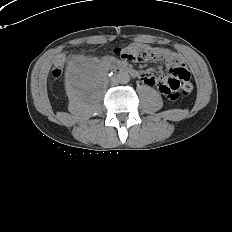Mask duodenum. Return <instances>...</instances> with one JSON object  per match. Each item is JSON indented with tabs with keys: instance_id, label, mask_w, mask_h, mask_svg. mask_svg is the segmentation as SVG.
<instances>
[{
	"instance_id": "410a0bca",
	"label": "duodenum",
	"mask_w": 232,
	"mask_h": 232,
	"mask_svg": "<svg viewBox=\"0 0 232 232\" xmlns=\"http://www.w3.org/2000/svg\"><path fill=\"white\" fill-rule=\"evenodd\" d=\"M111 65L115 73H127L131 75L132 77L138 76V72L135 69L127 66L126 64L117 63L115 61H112Z\"/></svg>"
}]
</instances>
